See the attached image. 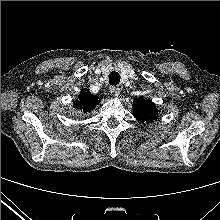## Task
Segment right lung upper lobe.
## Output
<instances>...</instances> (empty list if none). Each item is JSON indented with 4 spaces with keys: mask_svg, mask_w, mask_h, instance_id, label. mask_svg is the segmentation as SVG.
I'll return each instance as SVG.
<instances>
[{
    "mask_svg": "<svg viewBox=\"0 0 220 220\" xmlns=\"http://www.w3.org/2000/svg\"><path fill=\"white\" fill-rule=\"evenodd\" d=\"M74 107L83 111L84 113L90 112L99 104L100 99L97 95L91 94L88 90L84 89L75 101Z\"/></svg>",
    "mask_w": 220,
    "mask_h": 220,
    "instance_id": "1",
    "label": "right lung upper lobe"
}]
</instances>
